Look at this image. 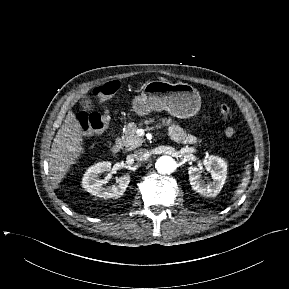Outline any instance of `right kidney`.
Returning <instances> with one entry per match:
<instances>
[{"mask_svg": "<svg viewBox=\"0 0 289 289\" xmlns=\"http://www.w3.org/2000/svg\"><path fill=\"white\" fill-rule=\"evenodd\" d=\"M111 163L108 161L98 162L87 169L82 179V187L92 195L104 199L120 197L125 192L130 182V176L124 175L117 180V185L103 187L104 181L99 179V174L111 170Z\"/></svg>", "mask_w": 289, "mask_h": 289, "instance_id": "right-kidney-1", "label": "right kidney"}]
</instances>
